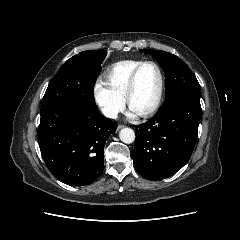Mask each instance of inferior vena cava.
Returning a JSON list of instances; mask_svg holds the SVG:
<instances>
[{"label":"inferior vena cava","instance_id":"obj_1","mask_svg":"<svg viewBox=\"0 0 240 240\" xmlns=\"http://www.w3.org/2000/svg\"><path fill=\"white\" fill-rule=\"evenodd\" d=\"M102 112L106 117L112 118V119H116L118 115V110L113 107H107V106L103 107Z\"/></svg>","mask_w":240,"mask_h":240}]
</instances>
